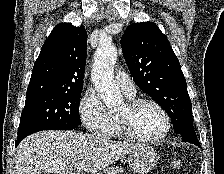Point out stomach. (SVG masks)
<instances>
[{
  "mask_svg": "<svg viewBox=\"0 0 224 174\" xmlns=\"http://www.w3.org/2000/svg\"><path fill=\"white\" fill-rule=\"evenodd\" d=\"M158 160V153L153 147L140 145L129 154L128 164L132 171L146 174L157 165Z\"/></svg>",
  "mask_w": 224,
  "mask_h": 174,
  "instance_id": "0dacf381",
  "label": "stomach"
}]
</instances>
